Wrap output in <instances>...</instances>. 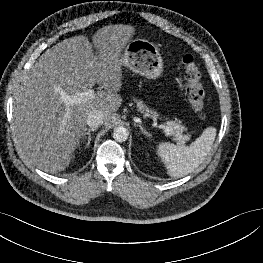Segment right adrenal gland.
Here are the masks:
<instances>
[{"mask_svg":"<svg viewBox=\"0 0 263 263\" xmlns=\"http://www.w3.org/2000/svg\"><path fill=\"white\" fill-rule=\"evenodd\" d=\"M93 131H96V128L88 129V131L85 132L84 135H83L82 142L84 143L85 140L87 139V144H86V147H85V148L89 147V145H90V142H91V132H93Z\"/></svg>","mask_w":263,"mask_h":263,"instance_id":"2a0ac1e0","label":"right adrenal gland"}]
</instances>
